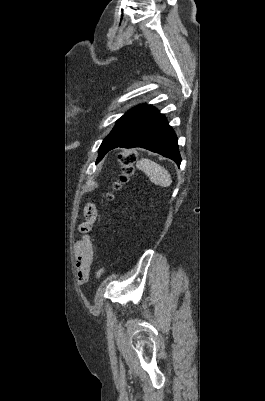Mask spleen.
<instances>
[{"mask_svg": "<svg viewBox=\"0 0 265 401\" xmlns=\"http://www.w3.org/2000/svg\"><path fill=\"white\" fill-rule=\"evenodd\" d=\"M140 170H143L147 176H149L151 182L154 184H160V186H170L172 182L171 174H169L166 168L154 162V160H149V158H141L137 164Z\"/></svg>", "mask_w": 265, "mask_h": 401, "instance_id": "obj_1", "label": "spleen"}]
</instances>
